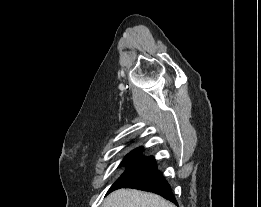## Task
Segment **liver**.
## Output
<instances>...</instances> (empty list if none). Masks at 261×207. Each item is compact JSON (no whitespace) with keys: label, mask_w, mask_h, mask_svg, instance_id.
I'll use <instances>...</instances> for the list:
<instances>
[{"label":"liver","mask_w":261,"mask_h":207,"mask_svg":"<svg viewBox=\"0 0 261 207\" xmlns=\"http://www.w3.org/2000/svg\"><path fill=\"white\" fill-rule=\"evenodd\" d=\"M102 207H175L159 195L135 189H120L111 193Z\"/></svg>","instance_id":"6515ba94"}]
</instances>
